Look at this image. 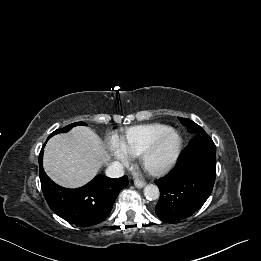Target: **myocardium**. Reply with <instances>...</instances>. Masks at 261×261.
Segmentation results:
<instances>
[{"instance_id":"1","label":"myocardium","mask_w":261,"mask_h":261,"mask_svg":"<svg viewBox=\"0 0 261 261\" xmlns=\"http://www.w3.org/2000/svg\"><path fill=\"white\" fill-rule=\"evenodd\" d=\"M173 136L175 138V143L173 146L172 151L168 155V157L165 159L163 163H161L158 166H151L149 164V160L151 157L154 155V153L158 150L160 145L163 143V141L170 137ZM182 149V138L180 134L174 130V129H169L166 132L162 133L159 135L141 154H140V163L142 168L148 172L151 175L154 176H162L168 173L173 166L175 165L180 152Z\"/></svg>"}]
</instances>
